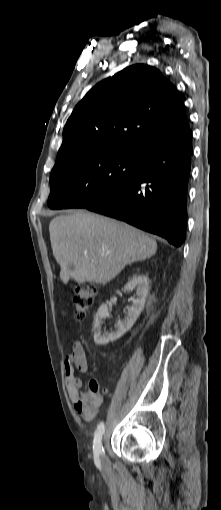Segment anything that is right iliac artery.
Returning <instances> with one entry per match:
<instances>
[{"label":"right iliac artery","instance_id":"82829eb1","mask_svg":"<svg viewBox=\"0 0 221 510\" xmlns=\"http://www.w3.org/2000/svg\"><path fill=\"white\" fill-rule=\"evenodd\" d=\"M104 433V423L100 422L95 431L94 441H93V451L94 455L98 457L99 455H104V448L102 446V435Z\"/></svg>","mask_w":221,"mask_h":510}]
</instances>
